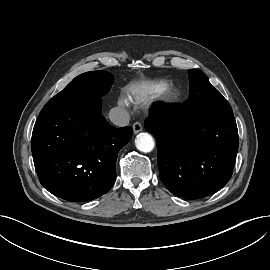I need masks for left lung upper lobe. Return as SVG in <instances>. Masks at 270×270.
<instances>
[{
  "instance_id": "left-lung-upper-lobe-1",
  "label": "left lung upper lobe",
  "mask_w": 270,
  "mask_h": 270,
  "mask_svg": "<svg viewBox=\"0 0 270 270\" xmlns=\"http://www.w3.org/2000/svg\"><path fill=\"white\" fill-rule=\"evenodd\" d=\"M189 97H193L196 109L202 115L232 114L233 111L223 95L199 70H189Z\"/></svg>"
}]
</instances>
